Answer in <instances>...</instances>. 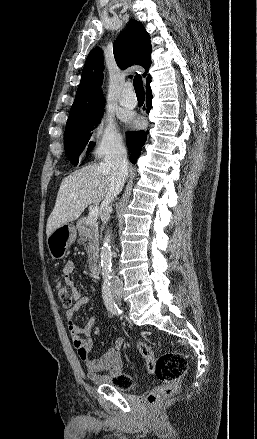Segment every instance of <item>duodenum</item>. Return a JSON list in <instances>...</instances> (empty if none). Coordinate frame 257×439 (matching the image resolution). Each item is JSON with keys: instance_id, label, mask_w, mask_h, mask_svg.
I'll use <instances>...</instances> for the list:
<instances>
[{"instance_id": "obj_1", "label": "duodenum", "mask_w": 257, "mask_h": 439, "mask_svg": "<svg viewBox=\"0 0 257 439\" xmlns=\"http://www.w3.org/2000/svg\"><path fill=\"white\" fill-rule=\"evenodd\" d=\"M90 272L93 276L100 275V266L96 262H91Z\"/></svg>"}]
</instances>
